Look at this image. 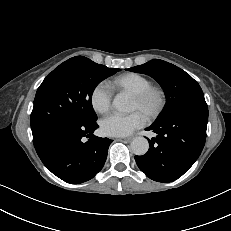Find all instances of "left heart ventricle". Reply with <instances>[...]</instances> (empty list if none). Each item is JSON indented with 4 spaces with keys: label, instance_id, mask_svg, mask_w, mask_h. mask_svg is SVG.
Returning a JSON list of instances; mask_svg holds the SVG:
<instances>
[{
    "label": "left heart ventricle",
    "instance_id": "1",
    "mask_svg": "<svg viewBox=\"0 0 231 231\" xmlns=\"http://www.w3.org/2000/svg\"><path fill=\"white\" fill-rule=\"evenodd\" d=\"M154 104H155V100L151 99L145 106H142L134 98H132L131 109L138 110L144 114L145 109L152 107Z\"/></svg>",
    "mask_w": 231,
    "mask_h": 231
}]
</instances>
